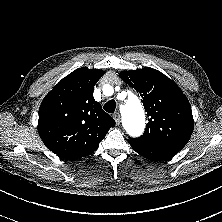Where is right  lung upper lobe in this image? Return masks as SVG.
Masks as SVG:
<instances>
[{
  "label": "right lung upper lobe",
  "mask_w": 222,
  "mask_h": 222,
  "mask_svg": "<svg viewBox=\"0 0 222 222\" xmlns=\"http://www.w3.org/2000/svg\"><path fill=\"white\" fill-rule=\"evenodd\" d=\"M104 71L79 68L63 78L42 101L38 132L44 144L61 158L79 159L93 153L113 118L94 100L95 84Z\"/></svg>",
  "instance_id": "cb5924a9"
}]
</instances>
